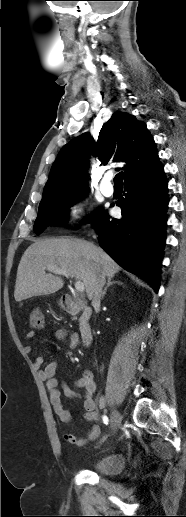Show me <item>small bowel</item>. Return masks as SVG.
<instances>
[{
  "label": "small bowel",
  "instance_id": "obj_1",
  "mask_svg": "<svg viewBox=\"0 0 186 517\" xmlns=\"http://www.w3.org/2000/svg\"><path fill=\"white\" fill-rule=\"evenodd\" d=\"M53 336L59 340L67 339L71 349L80 346V337L76 331L70 329H59L53 333ZM33 338V332H28L26 334V339L28 341L32 340ZM25 351L27 353H31L33 351L32 346L27 345L25 347ZM43 364V357L36 356L34 358V366L39 371V376L41 379L46 382L49 399L55 413L63 423H69L72 420V415L64 407L61 399V393L63 392L64 395L68 398H79L80 395L66 382L59 380L56 377L59 369V364L57 362H50L42 368ZM73 386L76 389H82L84 392L82 396L84 410L82 416L86 422L91 423L92 426L84 437L70 432L64 433L63 437L67 443L76 446H83L88 442L98 439L101 435V428L97 424L98 414L95 411L96 403L94 394L96 392V383L93 374L89 370H84L82 376L74 381Z\"/></svg>",
  "mask_w": 186,
  "mask_h": 517
}]
</instances>
